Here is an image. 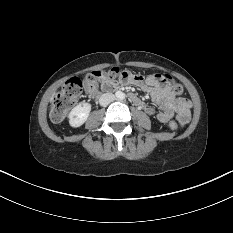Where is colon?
Here are the masks:
<instances>
[{
  "label": "colon",
  "instance_id": "colon-1",
  "mask_svg": "<svg viewBox=\"0 0 233 233\" xmlns=\"http://www.w3.org/2000/svg\"><path fill=\"white\" fill-rule=\"evenodd\" d=\"M120 72L118 68L98 70L91 72L83 78H72L56 94L50 108V118L54 122L62 121L68 111L76 104L82 95L96 96L101 89H110L115 85L116 75ZM163 81L171 83L172 92L175 95L183 93L181 84L173 82L167 75H159ZM169 127L177 129V123L171 121Z\"/></svg>",
  "mask_w": 233,
  "mask_h": 233
}]
</instances>
